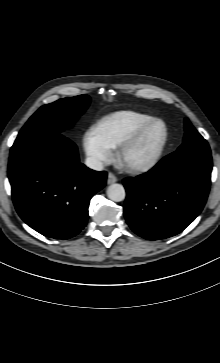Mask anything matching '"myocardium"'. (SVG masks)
<instances>
[{
	"label": "myocardium",
	"mask_w": 220,
	"mask_h": 363,
	"mask_svg": "<svg viewBox=\"0 0 220 363\" xmlns=\"http://www.w3.org/2000/svg\"><path fill=\"white\" fill-rule=\"evenodd\" d=\"M161 124L163 127V135L157 144L153 153L147 159L136 162L127 163L125 161L126 154L143 138V136L155 125ZM169 138V130L167 124L161 119H152L146 124L139 127L131 135H129L118 147L116 151L117 161L130 172H146L154 168L164 153Z\"/></svg>",
	"instance_id": "1"
}]
</instances>
